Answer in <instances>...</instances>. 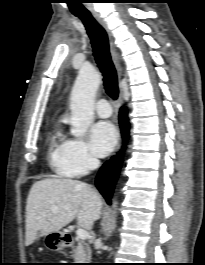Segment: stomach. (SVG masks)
Wrapping results in <instances>:
<instances>
[{"label": "stomach", "instance_id": "obj_1", "mask_svg": "<svg viewBox=\"0 0 205 265\" xmlns=\"http://www.w3.org/2000/svg\"><path fill=\"white\" fill-rule=\"evenodd\" d=\"M63 233L51 232L44 237V245L51 251H60L65 248L66 243L63 240Z\"/></svg>", "mask_w": 205, "mask_h": 265}]
</instances>
